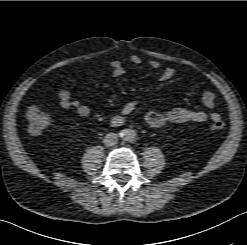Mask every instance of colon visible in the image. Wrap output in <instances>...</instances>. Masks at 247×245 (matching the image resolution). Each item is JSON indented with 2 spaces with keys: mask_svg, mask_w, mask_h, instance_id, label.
<instances>
[{
  "mask_svg": "<svg viewBox=\"0 0 247 245\" xmlns=\"http://www.w3.org/2000/svg\"><path fill=\"white\" fill-rule=\"evenodd\" d=\"M28 128L32 134H39L50 124V117L38 107H30L26 114ZM225 127L224 122L219 119L213 122L212 131L219 132Z\"/></svg>",
  "mask_w": 247,
  "mask_h": 245,
  "instance_id": "1",
  "label": "colon"
}]
</instances>
